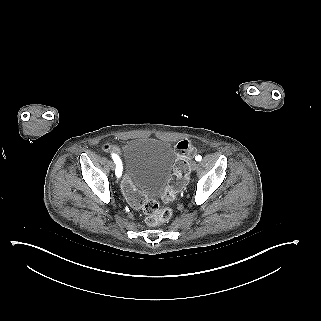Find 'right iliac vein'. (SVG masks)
Masks as SVG:
<instances>
[{"label": "right iliac vein", "instance_id": "right-iliac-vein-1", "mask_svg": "<svg viewBox=\"0 0 321 321\" xmlns=\"http://www.w3.org/2000/svg\"><path fill=\"white\" fill-rule=\"evenodd\" d=\"M110 168H111L112 170L115 169V164H114L113 162H110Z\"/></svg>", "mask_w": 321, "mask_h": 321}]
</instances>
